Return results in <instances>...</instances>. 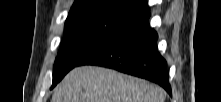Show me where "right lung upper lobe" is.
I'll return each mask as SVG.
<instances>
[{"label":"right lung upper lobe","instance_id":"right-lung-upper-lobe-1","mask_svg":"<svg viewBox=\"0 0 221 102\" xmlns=\"http://www.w3.org/2000/svg\"><path fill=\"white\" fill-rule=\"evenodd\" d=\"M95 2H110L123 7L133 8L145 13L149 11V7L144 0H75L71 10L78 9L85 5Z\"/></svg>","mask_w":221,"mask_h":102}]
</instances>
